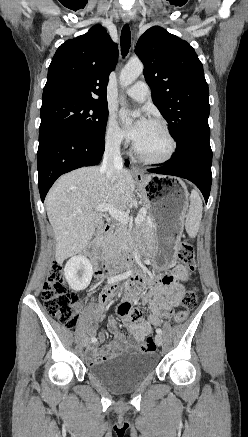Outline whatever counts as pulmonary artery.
Wrapping results in <instances>:
<instances>
[{"mask_svg":"<svg viewBox=\"0 0 248 437\" xmlns=\"http://www.w3.org/2000/svg\"><path fill=\"white\" fill-rule=\"evenodd\" d=\"M126 94L139 102H143L149 96V87L146 82L138 81L126 90Z\"/></svg>","mask_w":248,"mask_h":437,"instance_id":"pulmonary-artery-1","label":"pulmonary artery"}]
</instances>
